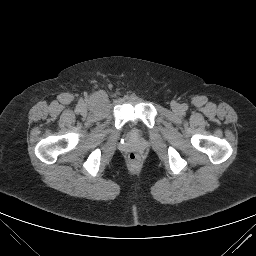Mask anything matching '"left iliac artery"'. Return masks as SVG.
<instances>
[{
  "mask_svg": "<svg viewBox=\"0 0 256 256\" xmlns=\"http://www.w3.org/2000/svg\"><path fill=\"white\" fill-rule=\"evenodd\" d=\"M182 109H183V110H187V109H188V106H187L186 104H183Z\"/></svg>",
  "mask_w": 256,
  "mask_h": 256,
  "instance_id": "obj_1",
  "label": "left iliac artery"
}]
</instances>
